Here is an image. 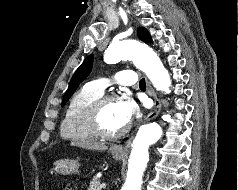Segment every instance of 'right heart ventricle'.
Listing matches in <instances>:
<instances>
[{
    "label": "right heart ventricle",
    "mask_w": 238,
    "mask_h": 190,
    "mask_svg": "<svg viewBox=\"0 0 238 190\" xmlns=\"http://www.w3.org/2000/svg\"><path fill=\"white\" fill-rule=\"evenodd\" d=\"M102 94L88 86L76 92L70 99L61 123V135L65 139L85 141L95 136L90 133L84 123V114L90 104Z\"/></svg>",
    "instance_id": "right-heart-ventricle-1"
}]
</instances>
